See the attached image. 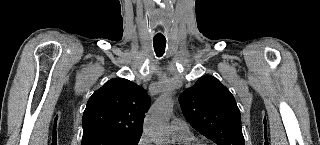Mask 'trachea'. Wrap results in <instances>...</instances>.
I'll use <instances>...</instances> for the list:
<instances>
[{
  "instance_id": "3493384b",
  "label": "trachea",
  "mask_w": 320,
  "mask_h": 145,
  "mask_svg": "<svg viewBox=\"0 0 320 145\" xmlns=\"http://www.w3.org/2000/svg\"><path fill=\"white\" fill-rule=\"evenodd\" d=\"M154 51L157 57L163 56L166 47V39L164 37H154L153 39Z\"/></svg>"
}]
</instances>
